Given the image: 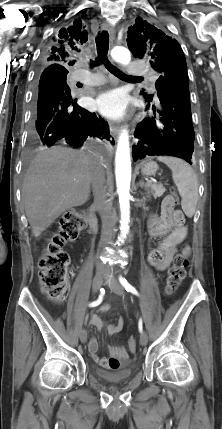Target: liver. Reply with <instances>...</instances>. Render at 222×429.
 <instances>
[{"label": "liver", "instance_id": "liver-1", "mask_svg": "<svg viewBox=\"0 0 222 429\" xmlns=\"http://www.w3.org/2000/svg\"><path fill=\"white\" fill-rule=\"evenodd\" d=\"M97 152L52 147L31 162L22 200L34 236L38 237L62 213L87 202Z\"/></svg>", "mask_w": 222, "mask_h": 429}]
</instances>
